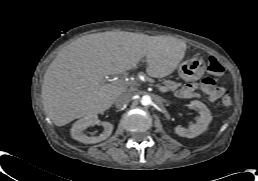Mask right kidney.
Returning a JSON list of instances; mask_svg holds the SVG:
<instances>
[{"mask_svg":"<svg viewBox=\"0 0 258 181\" xmlns=\"http://www.w3.org/2000/svg\"><path fill=\"white\" fill-rule=\"evenodd\" d=\"M96 124L102 125L104 127V130L100 135L88 136L84 133V131L89 126H94ZM112 131L113 125L110 122L100 121L96 114H90L79 119L73 124L71 128V136L73 139L79 142L86 144H95L106 140L111 135Z\"/></svg>","mask_w":258,"mask_h":181,"instance_id":"1","label":"right kidney"}]
</instances>
